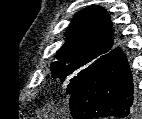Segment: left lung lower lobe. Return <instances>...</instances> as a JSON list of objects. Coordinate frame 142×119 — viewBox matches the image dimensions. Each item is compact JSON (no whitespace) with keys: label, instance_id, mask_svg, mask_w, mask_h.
Returning a JSON list of instances; mask_svg holds the SVG:
<instances>
[{"label":"left lung lower lobe","instance_id":"left-lung-lower-lobe-1","mask_svg":"<svg viewBox=\"0 0 142 119\" xmlns=\"http://www.w3.org/2000/svg\"><path fill=\"white\" fill-rule=\"evenodd\" d=\"M74 119L136 117L132 74L120 48L112 49L86 76L69 99Z\"/></svg>","mask_w":142,"mask_h":119}]
</instances>
